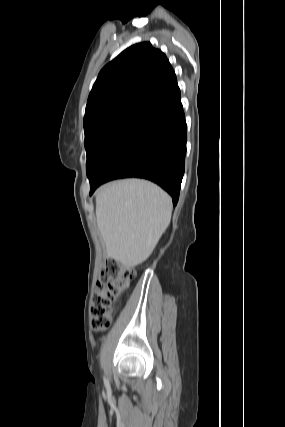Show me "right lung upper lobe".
Returning a JSON list of instances; mask_svg holds the SVG:
<instances>
[{"instance_id":"cb5924a9","label":"right lung upper lobe","mask_w":285,"mask_h":427,"mask_svg":"<svg viewBox=\"0 0 285 427\" xmlns=\"http://www.w3.org/2000/svg\"><path fill=\"white\" fill-rule=\"evenodd\" d=\"M177 84L165 54L149 42L135 44L108 63L90 92L84 125L125 108L145 109Z\"/></svg>"}]
</instances>
